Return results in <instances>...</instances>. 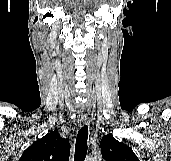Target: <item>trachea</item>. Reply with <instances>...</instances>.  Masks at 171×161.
<instances>
[{
    "instance_id": "3493384b",
    "label": "trachea",
    "mask_w": 171,
    "mask_h": 161,
    "mask_svg": "<svg viewBox=\"0 0 171 161\" xmlns=\"http://www.w3.org/2000/svg\"><path fill=\"white\" fill-rule=\"evenodd\" d=\"M87 140H88V126L84 125L78 131L76 137L74 161H84L88 149Z\"/></svg>"
}]
</instances>
